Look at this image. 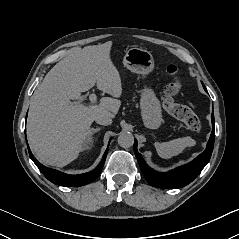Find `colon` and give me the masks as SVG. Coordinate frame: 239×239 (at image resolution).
<instances>
[{
  "instance_id": "5ec220e1",
  "label": "colon",
  "mask_w": 239,
  "mask_h": 239,
  "mask_svg": "<svg viewBox=\"0 0 239 239\" xmlns=\"http://www.w3.org/2000/svg\"><path fill=\"white\" fill-rule=\"evenodd\" d=\"M167 74L170 76L171 81L166 86L162 97L163 107L175 118L182 121L189 130L199 132L202 128L199 117L190 107L176 101V98L182 92V83L178 77L177 67L169 65L167 67Z\"/></svg>"
}]
</instances>
